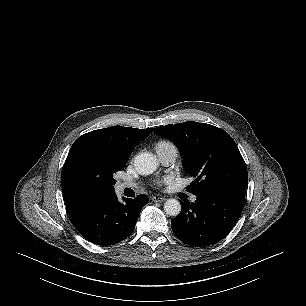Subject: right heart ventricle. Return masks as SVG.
I'll return each instance as SVG.
<instances>
[{
	"mask_svg": "<svg viewBox=\"0 0 306 306\" xmlns=\"http://www.w3.org/2000/svg\"><path fill=\"white\" fill-rule=\"evenodd\" d=\"M170 145H173L172 143L168 142V141H160L156 144V149L158 148H164V147H168Z\"/></svg>",
	"mask_w": 306,
	"mask_h": 306,
	"instance_id": "right-heart-ventricle-1",
	"label": "right heart ventricle"
}]
</instances>
